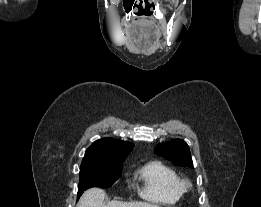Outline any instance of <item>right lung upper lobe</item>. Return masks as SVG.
<instances>
[{"mask_svg":"<svg viewBox=\"0 0 261 207\" xmlns=\"http://www.w3.org/2000/svg\"><path fill=\"white\" fill-rule=\"evenodd\" d=\"M133 147L134 144L126 141L99 139L86 150L81 166L112 163L116 159L127 157Z\"/></svg>","mask_w":261,"mask_h":207,"instance_id":"obj_1","label":"right lung upper lobe"}]
</instances>
